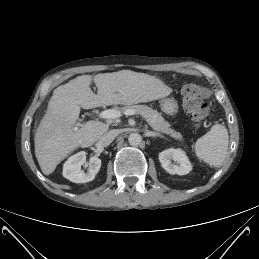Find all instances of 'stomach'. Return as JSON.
Here are the masks:
<instances>
[{
  "label": "stomach",
  "instance_id": "1",
  "mask_svg": "<svg viewBox=\"0 0 259 259\" xmlns=\"http://www.w3.org/2000/svg\"><path fill=\"white\" fill-rule=\"evenodd\" d=\"M163 112L169 115H174L178 112V103L173 98H163L160 102Z\"/></svg>",
  "mask_w": 259,
  "mask_h": 259
}]
</instances>
